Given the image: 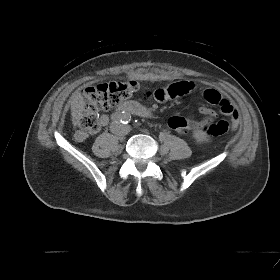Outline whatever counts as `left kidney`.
I'll list each match as a JSON object with an SVG mask.
<instances>
[{
  "mask_svg": "<svg viewBox=\"0 0 280 280\" xmlns=\"http://www.w3.org/2000/svg\"><path fill=\"white\" fill-rule=\"evenodd\" d=\"M193 137L199 143L208 141L207 134L205 132L201 131V130H195L193 132Z\"/></svg>",
  "mask_w": 280,
  "mask_h": 280,
  "instance_id": "1",
  "label": "left kidney"
}]
</instances>
